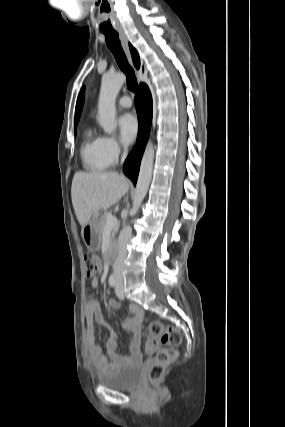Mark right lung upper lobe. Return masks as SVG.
I'll use <instances>...</instances> for the list:
<instances>
[{"instance_id":"cb5924a9","label":"right lung upper lobe","mask_w":285,"mask_h":427,"mask_svg":"<svg viewBox=\"0 0 285 427\" xmlns=\"http://www.w3.org/2000/svg\"><path fill=\"white\" fill-rule=\"evenodd\" d=\"M129 47H130V52L132 55L133 63L136 66V68H139L140 67L139 55H138L136 49L131 46V44H129ZM82 105H83V98L80 95L78 100H77L76 110H75V126L77 125V123L79 121V117H80V114L82 111Z\"/></svg>"}]
</instances>
